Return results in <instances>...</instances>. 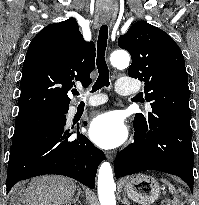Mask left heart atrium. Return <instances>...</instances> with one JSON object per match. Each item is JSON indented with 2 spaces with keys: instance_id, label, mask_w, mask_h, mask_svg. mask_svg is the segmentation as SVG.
<instances>
[{
  "instance_id": "left-heart-atrium-1",
  "label": "left heart atrium",
  "mask_w": 199,
  "mask_h": 205,
  "mask_svg": "<svg viewBox=\"0 0 199 205\" xmlns=\"http://www.w3.org/2000/svg\"><path fill=\"white\" fill-rule=\"evenodd\" d=\"M90 138L102 148H114L127 138V127L121 115L115 111L96 116L88 130Z\"/></svg>"
}]
</instances>
